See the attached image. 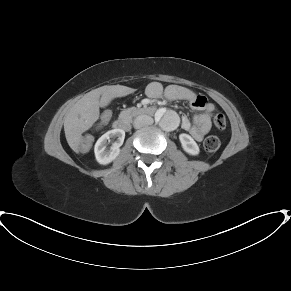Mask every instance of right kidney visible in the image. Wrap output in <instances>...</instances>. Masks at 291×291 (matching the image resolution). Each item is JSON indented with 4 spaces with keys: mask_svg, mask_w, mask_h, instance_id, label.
Here are the masks:
<instances>
[{
    "mask_svg": "<svg viewBox=\"0 0 291 291\" xmlns=\"http://www.w3.org/2000/svg\"><path fill=\"white\" fill-rule=\"evenodd\" d=\"M125 131L113 129L103 134L94 147L95 158L99 164L106 165L112 162L120 153V146L123 144ZM114 141L110 148L107 145Z\"/></svg>",
    "mask_w": 291,
    "mask_h": 291,
    "instance_id": "1",
    "label": "right kidney"
}]
</instances>
